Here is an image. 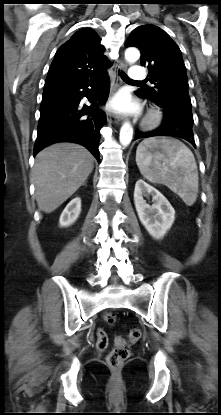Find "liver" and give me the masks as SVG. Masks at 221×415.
I'll return each mask as SVG.
<instances>
[{"label": "liver", "instance_id": "1", "mask_svg": "<svg viewBox=\"0 0 221 415\" xmlns=\"http://www.w3.org/2000/svg\"><path fill=\"white\" fill-rule=\"evenodd\" d=\"M93 167L94 157L78 144L57 143L39 152L33 168L39 209L56 210L85 183Z\"/></svg>", "mask_w": 221, "mask_h": 415}]
</instances>
